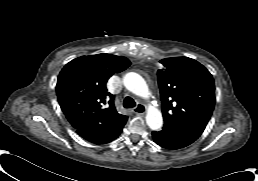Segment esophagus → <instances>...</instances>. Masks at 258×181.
<instances>
[{
    "mask_svg": "<svg viewBox=\"0 0 258 181\" xmlns=\"http://www.w3.org/2000/svg\"><path fill=\"white\" fill-rule=\"evenodd\" d=\"M134 113L137 115H142L145 113L146 111V107L144 104H138L135 108H134Z\"/></svg>",
    "mask_w": 258,
    "mask_h": 181,
    "instance_id": "1",
    "label": "esophagus"
}]
</instances>
